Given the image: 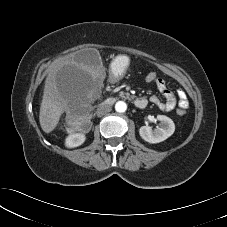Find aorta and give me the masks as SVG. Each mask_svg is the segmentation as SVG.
Returning a JSON list of instances; mask_svg holds the SVG:
<instances>
[{"instance_id": "1", "label": "aorta", "mask_w": 227, "mask_h": 227, "mask_svg": "<svg viewBox=\"0 0 227 227\" xmlns=\"http://www.w3.org/2000/svg\"><path fill=\"white\" fill-rule=\"evenodd\" d=\"M115 110L119 113H123L127 110V104L124 101H118L115 104Z\"/></svg>"}]
</instances>
